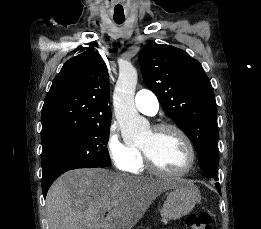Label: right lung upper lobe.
I'll list each match as a JSON object with an SVG mask.
<instances>
[{
    "instance_id": "obj_1",
    "label": "right lung upper lobe",
    "mask_w": 261,
    "mask_h": 229,
    "mask_svg": "<svg viewBox=\"0 0 261 229\" xmlns=\"http://www.w3.org/2000/svg\"><path fill=\"white\" fill-rule=\"evenodd\" d=\"M109 102V76L100 54L87 49L68 60L53 80L42 108L43 149L93 125L110 123Z\"/></svg>"
}]
</instances>
